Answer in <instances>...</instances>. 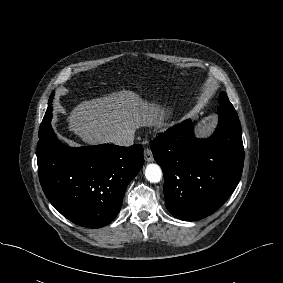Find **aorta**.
<instances>
[{"instance_id": "obj_1", "label": "aorta", "mask_w": 283, "mask_h": 283, "mask_svg": "<svg viewBox=\"0 0 283 283\" xmlns=\"http://www.w3.org/2000/svg\"><path fill=\"white\" fill-rule=\"evenodd\" d=\"M145 178L151 183H158L162 179V170L159 165L151 163L145 168Z\"/></svg>"}]
</instances>
